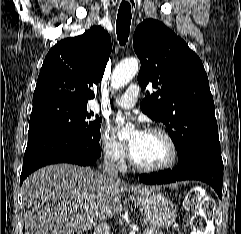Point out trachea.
I'll return each instance as SVG.
<instances>
[{"label":"trachea","instance_id":"3493384b","mask_svg":"<svg viewBox=\"0 0 241 234\" xmlns=\"http://www.w3.org/2000/svg\"><path fill=\"white\" fill-rule=\"evenodd\" d=\"M131 18V6L128 2L124 1L119 7L116 21L117 39L121 45H125L128 40Z\"/></svg>","mask_w":241,"mask_h":234}]
</instances>
